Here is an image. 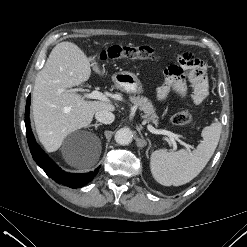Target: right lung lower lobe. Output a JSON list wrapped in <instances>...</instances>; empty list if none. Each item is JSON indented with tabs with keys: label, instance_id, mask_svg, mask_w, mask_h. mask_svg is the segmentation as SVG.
<instances>
[{
	"label": "right lung lower lobe",
	"instance_id": "right-lung-lower-lobe-1",
	"mask_svg": "<svg viewBox=\"0 0 247 247\" xmlns=\"http://www.w3.org/2000/svg\"><path fill=\"white\" fill-rule=\"evenodd\" d=\"M30 95L27 98L25 108V126L26 136L29 144V148L34 161L45 171V173L51 177L55 182L68 186L70 188H80L89 183L95 175L98 173L100 167L96 168L93 172L84 174L67 173L62 170L57 164H55L36 143L34 135L30 127Z\"/></svg>",
	"mask_w": 247,
	"mask_h": 247
}]
</instances>
